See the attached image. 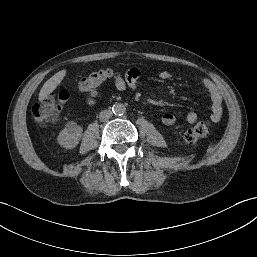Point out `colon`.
<instances>
[{"mask_svg": "<svg viewBox=\"0 0 257 257\" xmlns=\"http://www.w3.org/2000/svg\"><path fill=\"white\" fill-rule=\"evenodd\" d=\"M109 76V72L105 70H97L83 78L79 83V90L82 93H91L95 89L101 87ZM70 97L67 90H56L48 94L40 102L32 107L34 118L39 122L55 121L61 112L63 104ZM211 133V123L208 120H202L190 127L184 134V141L188 144L197 142L198 140L209 136Z\"/></svg>", "mask_w": 257, "mask_h": 257, "instance_id": "colon-1", "label": "colon"}]
</instances>
